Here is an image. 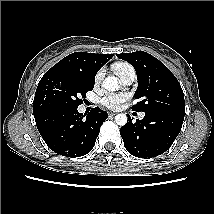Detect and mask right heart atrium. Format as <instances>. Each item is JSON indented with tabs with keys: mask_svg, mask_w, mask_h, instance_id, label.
<instances>
[{
	"mask_svg": "<svg viewBox=\"0 0 214 214\" xmlns=\"http://www.w3.org/2000/svg\"><path fill=\"white\" fill-rule=\"evenodd\" d=\"M102 74H103V72L101 70L98 71V73L96 74V77H95L96 82H99L101 80Z\"/></svg>",
	"mask_w": 214,
	"mask_h": 214,
	"instance_id": "obj_1",
	"label": "right heart atrium"
}]
</instances>
